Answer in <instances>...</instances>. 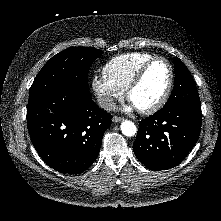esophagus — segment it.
Segmentation results:
<instances>
[{
	"label": "esophagus",
	"instance_id": "esophagus-1",
	"mask_svg": "<svg viewBox=\"0 0 221 221\" xmlns=\"http://www.w3.org/2000/svg\"><path fill=\"white\" fill-rule=\"evenodd\" d=\"M122 120H123V118H122V117H118V116H114V117L112 118V121L115 122V123L121 122Z\"/></svg>",
	"mask_w": 221,
	"mask_h": 221
}]
</instances>
